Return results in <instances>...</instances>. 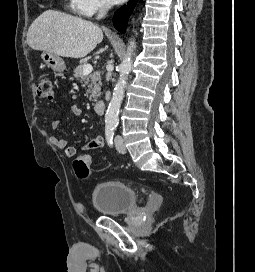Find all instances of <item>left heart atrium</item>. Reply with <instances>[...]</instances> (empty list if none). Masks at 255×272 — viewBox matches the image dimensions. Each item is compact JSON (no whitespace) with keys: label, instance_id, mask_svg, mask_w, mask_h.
<instances>
[{"label":"left heart atrium","instance_id":"39dd6f15","mask_svg":"<svg viewBox=\"0 0 255 272\" xmlns=\"http://www.w3.org/2000/svg\"><path fill=\"white\" fill-rule=\"evenodd\" d=\"M110 3H112V4H118V3H120V2H122V1H124V0H108Z\"/></svg>","mask_w":255,"mask_h":272}]
</instances>
